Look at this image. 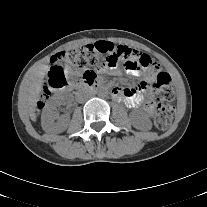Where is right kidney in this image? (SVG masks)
<instances>
[{
    "label": "right kidney",
    "mask_w": 207,
    "mask_h": 207,
    "mask_svg": "<svg viewBox=\"0 0 207 207\" xmlns=\"http://www.w3.org/2000/svg\"><path fill=\"white\" fill-rule=\"evenodd\" d=\"M66 100L65 95H54L45 105L41 116V126L46 132H61L64 131L69 123V117H60L56 111L63 101ZM55 120H58L55 122Z\"/></svg>",
    "instance_id": "obj_1"
}]
</instances>
